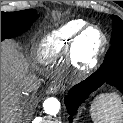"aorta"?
<instances>
[{"label":"aorta","instance_id":"1","mask_svg":"<svg viewBox=\"0 0 123 123\" xmlns=\"http://www.w3.org/2000/svg\"><path fill=\"white\" fill-rule=\"evenodd\" d=\"M60 102L55 97H49L43 102L45 113L49 115H56L60 110Z\"/></svg>","mask_w":123,"mask_h":123}]
</instances>
